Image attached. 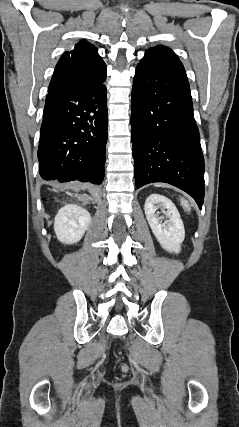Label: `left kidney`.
<instances>
[{"mask_svg":"<svg viewBox=\"0 0 239 427\" xmlns=\"http://www.w3.org/2000/svg\"><path fill=\"white\" fill-rule=\"evenodd\" d=\"M161 209L169 220L161 223L156 211ZM166 209V211H165ZM147 221L161 246L170 253H179L185 238V230L180 214L174 203L159 194H151L144 205Z\"/></svg>","mask_w":239,"mask_h":427,"instance_id":"1","label":"left kidney"}]
</instances>
